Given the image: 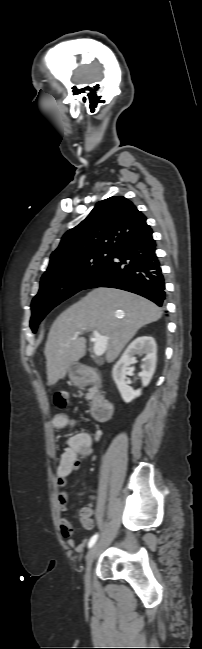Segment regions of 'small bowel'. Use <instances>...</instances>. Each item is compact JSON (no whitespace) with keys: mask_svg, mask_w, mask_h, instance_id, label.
<instances>
[{"mask_svg":"<svg viewBox=\"0 0 202 649\" xmlns=\"http://www.w3.org/2000/svg\"><path fill=\"white\" fill-rule=\"evenodd\" d=\"M75 424L76 421L74 419H71L64 413L56 414L52 420L53 428L56 430L68 429L74 427ZM100 435L101 432L98 430L96 432V437H99ZM92 445L93 437L90 433L85 431H80L71 435L66 441L65 450L60 457L56 470V483L58 488L60 489L58 492V505L60 511L63 513H67L69 511L68 493L65 489L68 478L73 472L78 470L80 461L92 454ZM95 499L96 496L92 494L90 496V503L82 507L79 513L80 521L86 530H92L94 527L92 515L93 503ZM59 527L62 536L67 539L68 545L74 548L76 552L82 553L85 548L86 540H83L79 544L76 543L73 537L74 528L70 521L66 518H62L59 522Z\"/></svg>","mask_w":202,"mask_h":649,"instance_id":"small-bowel-1","label":"small bowel"}]
</instances>
